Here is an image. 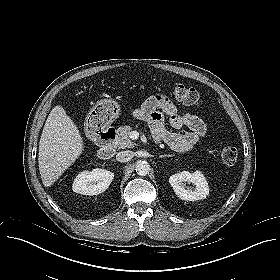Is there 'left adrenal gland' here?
<instances>
[{
  "instance_id": "1",
  "label": "left adrenal gland",
  "mask_w": 280,
  "mask_h": 280,
  "mask_svg": "<svg viewBox=\"0 0 280 280\" xmlns=\"http://www.w3.org/2000/svg\"><path fill=\"white\" fill-rule=\"evenodd\" d=\"M172 155H160V158H164V157H171Z\"/></svg>"
}]
</instances>
